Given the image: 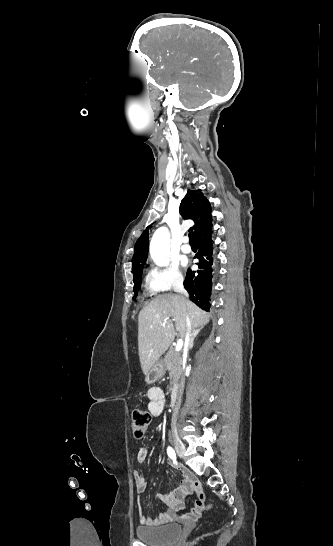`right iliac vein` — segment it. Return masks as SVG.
<instances>
[{"mask_svg": "<svg viewBox=\"0 0 333 546\" xmlns=\"http://www.w3.org/2000/svg\"><path fill=\"white\" fill-rule=\"evenodd\" d=\"M173 444H174V447H175V450H176L177 454L180 457H183L184 454H185V451H186L183 442L177 436H174Z\"/></svg>", "mask_w": 333, "mask_h": 546, "instance_id": "obj_1", "label": "right iliac vein"}]
</instances>
